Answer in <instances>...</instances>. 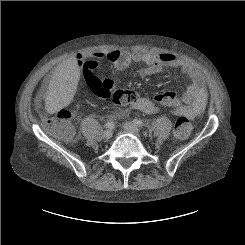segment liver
<instances>
[{
    "label": "liver",
    "instance_id": "6515ba94",
    "mask_svg": "<svg viewBox=\"0 0 245 245\" xmlns=\"http://www.w3.org/2000/svg\"><path fill=\"white\" fill-rule=\"evenodd\" d=\"M79 75L80 69L75 57H70L57 66L45 98V109L48 114L57 113L71 103Z\"/></svg>",
    "mask_w": 245,
    "mask_h": 245
}]
</instances>
